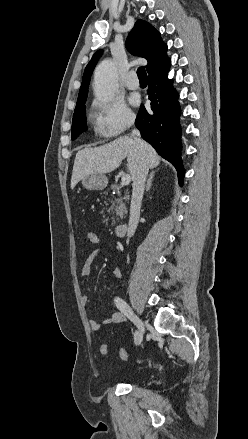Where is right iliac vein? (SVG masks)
I'll return each mask as SVG.
<instances>
[{"label":"right iliac vein","mask_w":248,"mask_h":439,"mask_svg":"<svg viewBox=\"0 0 248 439\" xmlns=\"http://www.w3.org/2000/svg\"><path fill=\"white\" fill-rule=\"evenodd\" d=\"M139 319V318H138ZM143 323L144 325L142 326V327H140V328H138V330H139V336H138V338L136 339V344H140V342L142 341V338H143V335H144V333H145V326H146V324H145V322L142 320V319H139V323Z\"/></svg>","instance_id":"63e3f726"}]
</instances>
